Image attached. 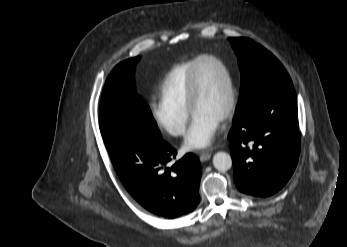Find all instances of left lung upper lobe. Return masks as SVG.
Returning <instances> with one entry per match:
<instances>
[{
  "label": "left lung upper lobe",
  "instance_id": "left-lung-upper-lobe-1",
  "mask_svg": "<svg viewBox=\"0 0 347 247\" xmlns=\"http://www.w3.org/2000/svg\"><path fill=\"white\" fill-rule=\"evenodd\" d=\"M238 57L241 87L236 115L245 112L264 92L284 85H293L278 59L264 47L247 38H230Z\"/></svg>",
  "mask_w": 347,
  "mask_h": 247
}]
</instances>
